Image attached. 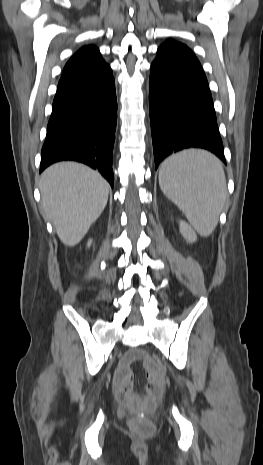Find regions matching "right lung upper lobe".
<instances>
[{
  "instance_id": "cb5924a9",
  "label": "right lung upper lobe",
  "mask_w": 263,
  "mask_h": 465,
  "mask_svg": "<svg viewBox=\"0 0 263 465\" xmlns=\"http://www.w3.org/2000/svg\"><path fill=\"white\" fill-rule=\"evenodd\" d=\"M106 66L97 47L84 46L67 62L61 78L98 71Z\"/></svg>"
}]
</instances>
